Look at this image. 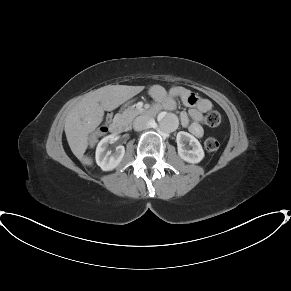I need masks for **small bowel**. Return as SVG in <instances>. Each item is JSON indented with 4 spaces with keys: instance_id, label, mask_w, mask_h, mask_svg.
Wrapping results in <instances>:
<instances>
[{
    "instance_id": "small-bowel-1",
    "label": "small bowel",
    "mask_w": 291,
    "mask_h": 291,
    "mask_svg": "<svg viewBox=\"0 0 291 291\" xmlns=\"http://www.w3.org/2000/svg\"><path fill=\"white\" fill-rule=\"evenodd\" d=\"M150 97L156 102L159 109L174 110L176 108V99H180L186 106L190 107V113H182L180 121L183 127L196 138L203 136L204 115L212 109L210 100L195 95L189 89L182 86H174L166 91L160 85H154L150 88ZM192 121H191V120Z\"/></svg>"
}]
</instances>
